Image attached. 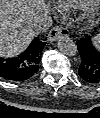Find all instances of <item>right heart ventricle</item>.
<instances>
[{
	"label": "right heart ventricle",
	"instance_id": "right-heart-ventricle-1",
	"mask_svg": "<svg viewBox=\"0 0 100 118\" xmlns=\"http://www.w3.org/2000/svg\"><path fill=\"white\" fill-rule=\"evenodd\" d=\"M89 1L90 0H57L58 4L64 9L77 8Z\"/></svg>",
	"mask_w": 100,
	"mask_h": 118
}]
</instances>
